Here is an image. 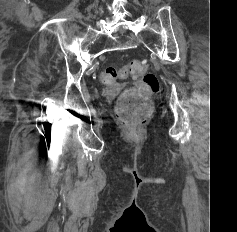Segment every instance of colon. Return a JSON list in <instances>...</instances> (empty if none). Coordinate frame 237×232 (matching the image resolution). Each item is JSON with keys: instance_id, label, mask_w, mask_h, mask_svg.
Here are the masks:
<instances>
[{"instance_id": "5ec220e1", "label": "colon", "mask_w": 237, "mask_h": 232, "mask_svg": "<svg viewBox=\"0 0 237 232\" xmlns=\"http://www.w3.org/2000/svg\"><path fill=\"white\" fill-rule=\"evenodd\" d=\"M146 64L140 60H133L128 65L117 67L111 65L101 74L106 84L131 75L135 79L133 87L127 89L116 105V114L120 122L130 131H138L149 119L152 113L150 96L159 89L157 77L146 72Z\"/></svg>"}]
</instances>
